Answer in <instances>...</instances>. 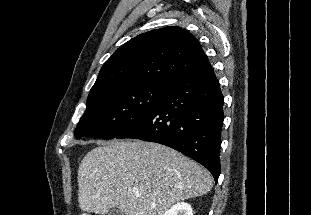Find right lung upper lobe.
Returning <instances> with one entry per match:
<instances>
[{
	"label": "right lung upper lobe",
	"mask_w": 311,
	"mask_h": 215,
	"mask_svg": "<svg viewBox=\"0 0 311 215\" xmlns=\"http://www.w3.org/2000/svg\"><path fill=\"white\" fill-rule=\"evenodd\" d=\"M210 64L197 39L178 26L146 32L129 40L104 63L89 95L114 86L167 84Z\"/></svg>",
	"instance_id": "cb5924a9"
}]
</instances>
